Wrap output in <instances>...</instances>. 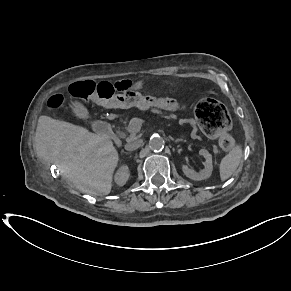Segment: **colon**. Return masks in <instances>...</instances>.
Masks as SVG:
<instances>
[{"mask_svg": "<svg viewBox=\"0 0 291 291\" xmlns=\"http://www.w3.org/2000/svg\"><path fill=\"white\" fill-rule=\"evenodd\" d=\"M69 93L76 99L114 107L135 106L143 108L145 112L153 110L180 115L185 108V103L179 101L178 97H169L167 93H160L158 97L153 93L143 96L131 90V84L127 81L77 82L70 86ZM65 101V95L56 94L48 99L47 107L58 109ZM195 117L203 133L217 137L224 150H230L234 146V138L228 133L231 126L230 115L222 103L213 98L201 99L195 107Z\"/></svg>", "mask_w": 291, "mask_h": 291, "instance_id": "1", "label": "colon"}]
</instances>
